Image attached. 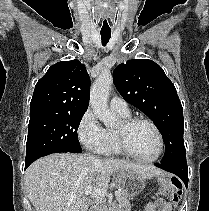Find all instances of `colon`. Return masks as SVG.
I'll return each instance as SVG.
<instances>
[{"mask_svg":"<svg viewBox=\"0 0 209 211\" xmlns=\"http://www.w3.org/2000/svg\"><path fill=\"white\" fill-rule=\"evenodd\" d=\"M167 187L169 191L170 200L173 205H176L179 202L181 196V183L178 179L171 178Z\"/></svg>","mask_w":209,"mask_h":211,"instance_id":"1","label":"colon"}]
</instances>
